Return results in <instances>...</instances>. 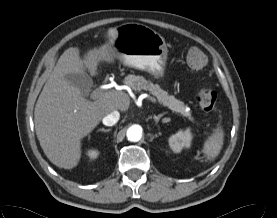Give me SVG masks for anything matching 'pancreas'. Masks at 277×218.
Masks as SVG:
<instances>
[{
	"instance_id": "obj_1",
	"label": "pancreas",
	"mask_w": 277,
	"mask_h": 218,
	"mask_svg": "<svg viewBox=\"0 0 277 218\" xmlns=\"http://www.w3.org/2000/svg\"><path fill=\"white\" fill-rule=\"evenodd\" d=\"M124 83L136 92L141 90L149 91L163 106L179 113L190 121L194 120L189 107H187L182 101L176 99L173 95H169L168 92L164 91L158 84H153L152 82L147 81L144 77L135 75H128L125 78Z\"/></svg>"
}]
</instances>
